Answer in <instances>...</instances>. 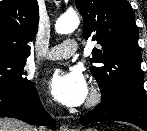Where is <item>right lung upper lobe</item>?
<instances>
[{
    "instance_id": "obj_1",
    "label": "right lung upper lobe",
    "mask_w": 147,
    "mask_h": 131,
    "mask_svg": "<svg viewBox=\"0 0 147 131\" xmlns=\"http://www.w3.org/2000/svg\"><path fill=\"white\" fill-rule=\"evenodd\" d=\"M38 20L37 0L0 2V57L27 59L28 43L35 38Z\"/></svg>"
}]
</instances>
